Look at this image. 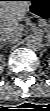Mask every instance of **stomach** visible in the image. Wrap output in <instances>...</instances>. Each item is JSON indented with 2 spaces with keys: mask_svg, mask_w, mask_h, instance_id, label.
<instances>
[{
  "mask_svg": "<svg viewBox=\"0 0 50 111\" xmlns=\"http://www.w3.org/2000/svg\"><path fill=\"white\" fill-rule=\"evenodd\" d=\"M29 12L40 22L50 21V0H30Z\"/></svg>",
  "mask_w": 50,
  "mask_h": 111,
  "instance_id": "obj_1",
  "label": "stomach"
}]
</instances>
